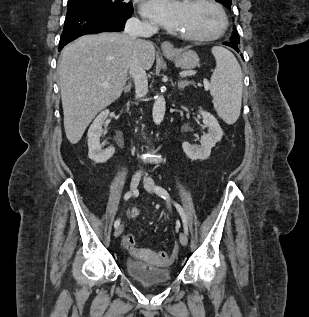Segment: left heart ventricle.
<instances>
[{"label":"left heart ventricle","instance_id":"1","mask_svg":"<svg viewBox=\"0 0 309 317\" xmlns=\"http://www.w3.org/2000/svg\"><path fill=\"white\" fill-rule=\"evenodd\" d=\"M220 24L217 11L205 3L186 2L181 22L180 33L208 35L214 33Z\"/></svg>","mask_w":309,"mask_h":317}]
</instances>
